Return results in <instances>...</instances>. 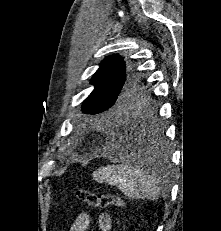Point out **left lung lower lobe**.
<instances>
[{
  "mask_svg": "<svg viewBox=\"0 0 221 231\" xmlns=\"http://www.w3.org/2000/svg\"><path fill=\"white\" fill-rule=\"evenodd\" d=\"M116 124L123 152L143 159L146 158V152L154 158L164 152L165 144L162 135L156 132L157 123L153 118L135 120L132 115L127 114L119 118Z\"/></svg>",
  "mask_w": 221,
  "mask_h": 231,
  "instance_id": "left-lung-lower-lobe-1",
  "label": "left lung lower lobe"
}]
</instances>
